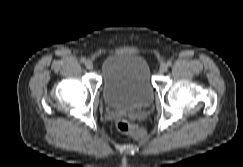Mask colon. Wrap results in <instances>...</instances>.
<instances>
[{"label":"colon","mask_w":243,"mask_h":167,"mask_svg":"<svg viewBox=\"0 0 243 167\" xmlns=\"http://www.w3.org/2000/svg\"><path fill=\"white\" fill-rule=\"evenodd\" d=\"M117 129L125 134H129L134 137H143L144 131L139 126L133 124L127 119H121L116 124Z\"/></svg>","instance_id":"colon-1"}]
</instances>
